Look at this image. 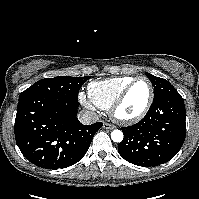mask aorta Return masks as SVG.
<instances>
[{"label": "aorta", "mask_w": 199, "mask_h": 199, "mask_svg": "<svg viewBox=\"0 0 199 199\" xmlns=\"http://www.w3.org/2000/svg\"><path fill=\"white\" fill-rule=\"evenodd\" d=\"M111 139L117 143L121 142L123 140V132L121 130H113L111 132Z\"/></svg>", "instance_id": "1"}]
</instances>
